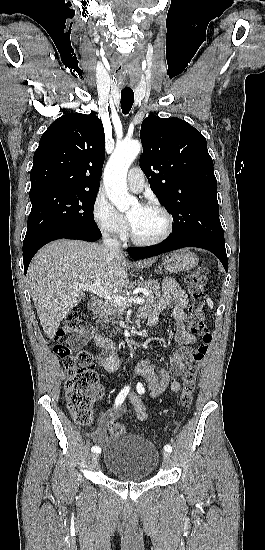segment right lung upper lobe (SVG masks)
<instances>
[{"instance_id":"obj_1","label":"right lung upper lobe","mask_w":265,"mask_h":550,"mask_svg":"<svg viewBox=\"0 0 265 550\" xmlns=\"http://www.w3.org/2000/svg\"><path fill=\"white\" fill-rule=\"evenodd\" d=\"M104 156L101 120L94 113L65 114L40 139L30 172L31 190L98 192Z\"/></svg>"}]
</instances>
